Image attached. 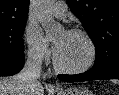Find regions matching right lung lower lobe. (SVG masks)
I'll return each mask as SVG.
<instances>
[{"label": "right lung lower lobe", "instance_id": "98d812e1", "mask_svg": "<svg viewBox=\"0 0 119 95\" xmlns=\"http://www.w3.org/2000/svg\"><path fill=\"white\" fill-rule=\"evenodd\" d=\"M24 66V53L20 55H0V76H12Z\"/></svg>", "mask_w": 119, "mask_h": 95}]
</instances>
